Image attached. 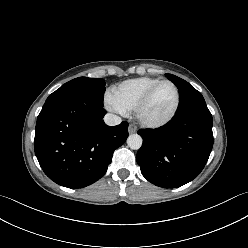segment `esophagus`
I'll use <instances>...</instances> for the list:
<instances>
[{"label": "esophagus", "mask_w": 248, "mask_h": 248, "mask_svg": "<svg viewBox=\"0 0 248 248\" xmlns=\"http://www.w3.org/2000/svg\"><path fill=\"white\" fill-rule=\"evenodd\" d=\"M128 132L129 134H134L137 132V128L134 124H130L129 127H128Z\"/></svg>", "instance_id": "1"}]
</instances>
